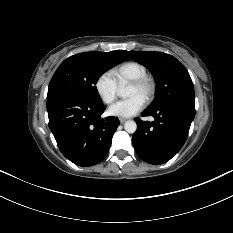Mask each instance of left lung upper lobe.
<instances>
[{
	"instance_id": "1",
	"label": "left lung upper lobe",
	"mask_w": 233,
	"mask_h": 233,
	"mask_svg": "<svg viewBox=\"0 0 233 233\" xmlns=\"http://www.w3.org/2000/svg\"><path fill=\"white\" fill-rule=\"evenodd\" d=\"M146 66L157 83L156 97L148 108L182 103L195 107L194 86L186 68L173 56L162 52L126 51Z\"/></svg>"
}]
</instances>
